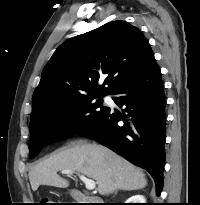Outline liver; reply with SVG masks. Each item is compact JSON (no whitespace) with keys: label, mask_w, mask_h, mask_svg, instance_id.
Here are the masks:
<instances>
[{"label":"liver","mask_w":200,"mask_h":205,"mask_svg":"<svg viewBox=\"0 0 200 205\" xmlns=\"http://www.w3.org/2000/svg\"><path fill=\"white\" fill-rule=\"evenodd\" d=\"M59 170L78 172L95 180L101 195L117 190H138L147 185L145 174L133 164L108 148L86 140H78L37 163L29 171L33 191L40 185L66 188L68 180L60 177Z\"/></svg>","instance_id":"6515ba94"}]
</instances>
